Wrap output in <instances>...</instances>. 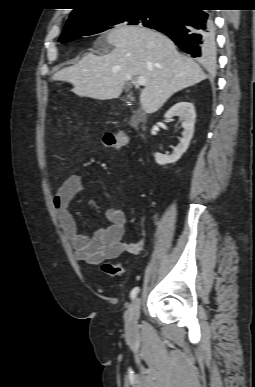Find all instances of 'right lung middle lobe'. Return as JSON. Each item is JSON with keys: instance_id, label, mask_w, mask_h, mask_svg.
Returning <instances> with one entry per match:
<instances>
[{"instance_id": "right-lung-middle-lobe-1", "label": "right lung middle lobe", "mask_w": 255, "mask_h": 387, "mask_svg": "<svg viewBox=\"0 0 255 387\" xmlns=\"http://www.w3.org/2000/svg\"><path fill=\"white\" fill-rule=\"evenodd\" d=\"M169 9L153 6H121L100 11L77 21L68 22L59 42L66 43L124 25L156 28L163 25Z\"/></svg>"}]
</instances>
